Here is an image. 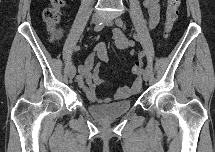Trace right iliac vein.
Instances as JSON below:
<instances>
[{"label":"right iliac vein","mask_w":215,"mask_h":152,"mask_svg":"<svg viewBox=\"0 0 215 152\" xmlns=\"http://www.w3.org/2000/svg\"><path fill=\"white\" fill-rule=\"evenodd\" d=\"M101 20H102L101 16H99V15H93V17L91 19V23L92 24H98V23L101 22ZM75 75H76V69H75V66L72 65L69 68V77L72 79V78L75 77Z\"/></svg>","instance_id":"63e3f726"}]
</instances>
